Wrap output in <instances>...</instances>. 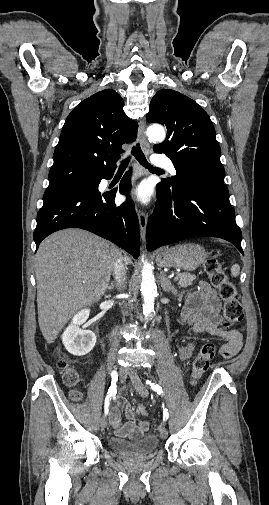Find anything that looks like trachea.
<instances>
[{
    "label": "trachea",
    "mask_w": 269,
    "mask_h": 505,
    "mask_svg": "<svg viewBox=\"0 0 269 505\" xmlns=\"http://www.w3.org/2000/svg\"><path fill=\"white\" fill-rule=\"evenodd\" d=\"M131 154L138 160V162L144 166L145 168L149 169L150 171H156V172H163V170L153 167L151 164L148 163L146 160V157L144 153L141 150L140 144H136L131 150ZM130 160V157L126 158L125 160L122 161V163L119 166V170H125L128 162Z\"/></svg>",
    "instance_id": "1"
}]
</instances>
